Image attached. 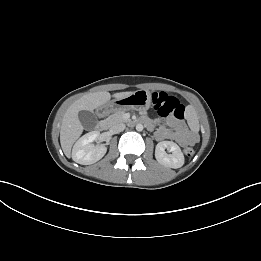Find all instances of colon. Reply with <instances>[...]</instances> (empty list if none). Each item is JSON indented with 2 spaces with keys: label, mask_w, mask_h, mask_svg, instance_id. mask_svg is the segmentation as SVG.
<instances>
[{
  "label": "colon",
  "mask_w": 261,
  "mask_h": 261,
  "mask_svg": "<svg viewBox=\"0 0 261 261\" xmlns=\"http://www.w3.org/2000/svg\"><path fill=\"white\" fill-rule=\"evenodd\" d=\"M153 107L161 116H173L176 119L184 117V106L165 92H155L152 96ZM185 154L189 157L195 154L194 147H187Z\"/></svg>",
  "instance_id": "5ec220e1"
}]
</instances>
